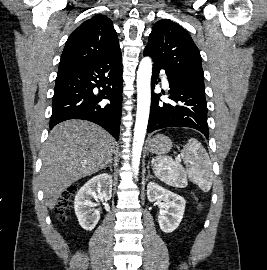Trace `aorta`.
Segmentation results:
<instances>
[{
	"label": "aorta",
	"mask_w": 267,
	"mask_h": 270,
	"mask_svg": "<svg viewBox=\"0 0 267 270\" xmlns=\"http://www.w3.org/2000/svg\"><path fill=\"white\" fill-rule=\"evenodd\" d=\"M152 60L144 57L137 71V113L132 144V168L135 177L139 172L142 147L146 135L151 104Z\"/></svg>",
	"instance_id": "762f6f07"
}]
</instances>
